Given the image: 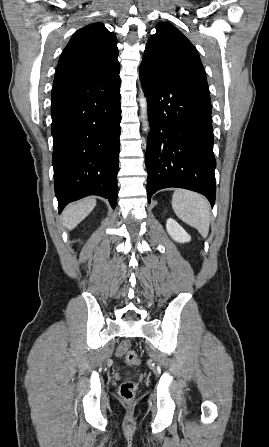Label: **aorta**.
I'll use <instances>...</instances> for the list:
<instances>
[{
	"label": "aorta",
	"mask_w": 269,
	"mask_h": 447,
	"mask_svg": "<svg viewBox=\"0 0 269 447\" xmlns=\"http://www.w3.org/2000/svg\"><path fill=\"white\" fill-rule=\"evenodd\" d=\"M139 104H140V108H141V118L143 120V122H142L143 132H148V130H150V128H149V122H147V120H148L147 100H146L144 94H140Z\"/></svg>",
	"instance_id": "1"
}]
</instances>
